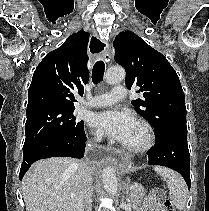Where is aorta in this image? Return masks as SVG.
Masks as SVG:
<instances>
[{"instance_id": "762f6f07", "label": "aorta", "mask_w": 209, "mask_h": 211, "mask_svg": "<svg viewBox=\"0 0 209 211\" xmlns=\"http://www.w3.org/2000/svg\"><path fill=\"white\" fill-rule=\"evenodd\" d=\"M125 70L122 67H111L107 70L104 79L108 84H117L125 79ZM102 181L105 191L110 195H115L118 191V181L115 170L110 166L103 169Z\"/></svg>"}]
</instances>
